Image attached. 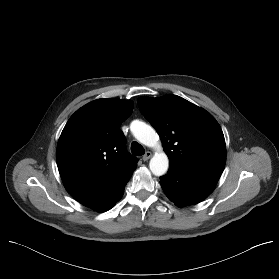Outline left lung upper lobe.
Listing matches in <instances>:
<instances>
[{
  "label": "left lung upper lobe",
  "mask_w": 279,
  "mask_h": 279,
  "mask_svg": "<svg viewBox=\"0 0 279 279\" xmlns=\"http://www.w3.org/2000/svg\"><path fill=\"white\" fill-rule=\"evenodd\" d=\"M138 106L161 137L169 165L222 174L226 162L225 139L210 113L176 95L140 97Z\"/></svg>",
  "instance_id": "1"
}]
</instances>
